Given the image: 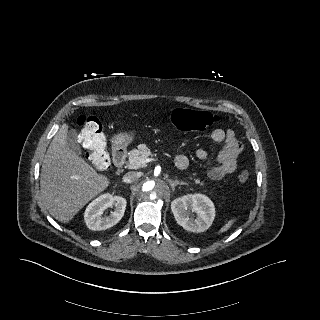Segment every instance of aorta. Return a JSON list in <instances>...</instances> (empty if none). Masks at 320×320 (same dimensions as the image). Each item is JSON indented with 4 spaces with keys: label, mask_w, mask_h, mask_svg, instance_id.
Segmentation results:
<instances>
[{
    "label": "aorta",
    "mask_w": 320,
    "mask_h": 320,
    "mask_svg": "<svg viewBox=\"0 0 320 320\" xmlns=\"http://www.w3.org/2000/svg\"><path fill=\"white\" fill-rule=\"evenodd\" d=\"M165 187V182L160 178H151L141 185L142 197L149 202L157 200L161 196V191Z\"/></svg>",
    "instance_id": "aorta-1"
}]
</instances>
